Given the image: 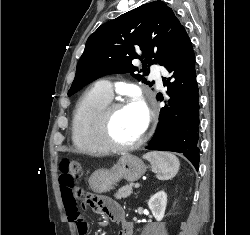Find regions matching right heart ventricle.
Wrapping results in <instances>:
<instances>
[{"label": "right heart ventricle", "instance_id": "e07e8e85", "mask_svg": "<svg viewBox=\"0 0 250 235\" xmlns=\"http://www.w3.org/2000/svg\"><path fill=\"white\" fill-rule=\"evenodd\" d=\"M111 101L96 85L79 99L72 117V141L84 155H102L109 151L98 139L97 121L101 110Z\"/></svg>", "mask_w": 250, "mask_h": 235}]
</instances>
